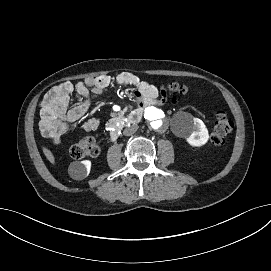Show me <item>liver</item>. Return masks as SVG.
Here are the masks:
<instances>
[{
  "instance_id": "1",
  "label": "liver",
  "mask_w": 271,
  "mask_h": 271,
  "mask_svg": "<svg viewBox=\"0 0 271 271\" xmlns=\"http://www.w3.org/2000/svg\"><path fill=\"white\" fill-rule=\"evenodd\" d=\"M43 153L45 154L46 158L49 160L50 163H55V158L49 149L43 147Z\"/></svg>"
}]
</instances>
